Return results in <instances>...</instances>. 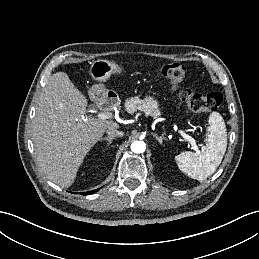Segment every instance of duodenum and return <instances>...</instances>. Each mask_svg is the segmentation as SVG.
I'll return each mask as SVG.
<instances>
[{
  "label": "duodenum",
  "instance_id": "duodenum-1",
  "mask_svg": "<svg viewBox=\"0 0 259 259\" xmlns=\"http://www.w3.org/2000/svg\"><path fill=\"white\" fill-rule=\"evenodd\" d=\"M99 104L102 108L111 109L117 104V99L109 93L99 101Z\"/></svg>",
  "mask_w": 259,
  "mask_h": 259
}]
</instances>
